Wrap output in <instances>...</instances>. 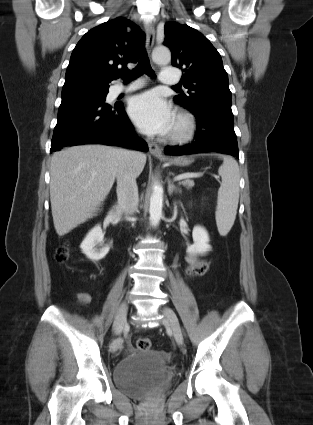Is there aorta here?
I'll list each match as a JSON object with an SVG mask.
<instances>
[{
	"instance_id": "aorta-1",
	"label": "aorta",
	"mask_w": 313,
	"mask_h": 425,
	"mask_svg": "<svg viewBox=\"0 0 313 425\" xmlns=\"http://www.w3.org/2000/svg\"><path fill=\"white\" fill-rule=\"evenodd\" d=\"M152 59L160 65H166L171 61V52L167 47H156L152 52ZM163 207V187L159 183L153 186V192L150 198V221L156 226L162 216Z\"/></svg>"
}]
</instances>
